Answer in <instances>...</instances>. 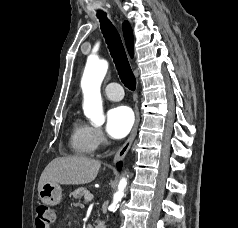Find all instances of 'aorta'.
I'll use <instances>...</instances> for the list:
<instances>
[{"mask_svg": "<svg viewBox=\"0 0 238 228\" xmlns=\"http://www.w3.org/2000/svg\"><path fill=\"white\" fill-rule=\"evenodd\" d=\"M107 70L108 62L106 60H88L81 79V88L84 97V114L96 125L103 124L105 120L100 87ZM126 186L127 179L122 177L118 184V190L114 193L113 201L110 205L113 211L118 208L119 202H121L124 197Z\"/></svg>", "mask_w": 238, "mask_h": 228, "instance_id": "762f6f07", "label": "aorta"}]
</instances>
